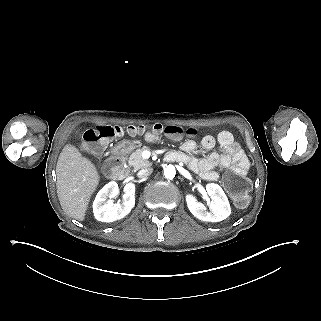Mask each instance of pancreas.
<instances>
[{"mask_svg":"<svg viewBox=\"0 0 321 321\" xmlns=\"http://www.w3.org/2000/svg\"><path fill=\"white\" fill-rule=\"evenodd\" d=\"M145 150H149L148 147L144 146L140 149L135 150L134 152L131 153V155L129 156V160H128V165L130 167H133V169L135 171L142 169V168H146L152 165L151 162H149L148 160L144 159L142 157V153Z\"/></svg>","mask_w":321,"mask_h":321,"instance_id":"obj_1","label":"pancreas"}]
</instances>
